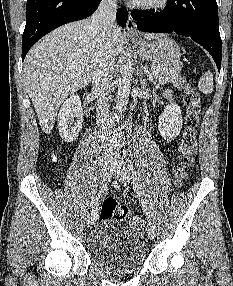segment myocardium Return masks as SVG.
I'll return each mask as SVG.
<instances>
[{
    "label": "myocardium",
    "instance_id": "myocardium-1",
    "mask_svg": "<svg viewBox=\"0 0 233 286\" xmlns=\"http://www.w3.org/2000/svg\"><path fill=\"white\" fill-rule=\"evenodd\" d=\"M169 0H152V1H140L138 3H132V5L142 10H159L167 6Z\"/></svg>",
    "mask_w": 233,
    "mask_h": 286
}]
</instances>
